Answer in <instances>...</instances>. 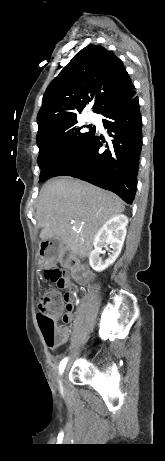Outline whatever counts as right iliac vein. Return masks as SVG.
Here are the masks:
<instances>
[{
	"label": "right iliac vein",
	"mask_w": 165,
	"mask_h": 461,
	"mask_svg": "<svg viewBox=\"0 0 165 461\" xmlns=\"http://www.w3.org/2000/svg\"><path fill=\"white\" fill-rule=\"evenodd\" d=\"M65 374H66V369L62 373V382H65Z\"/></svg>",
	"instance_id": "1"
}]
</instances>
